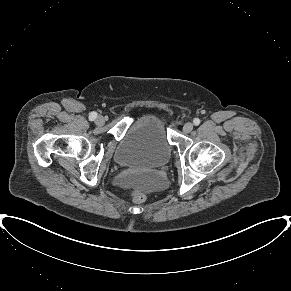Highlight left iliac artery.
<instances>
[{"mask_svg":"<svg viewBox=\"0 0 291 291\" xmlns=\"http://www.w3.org/2000/svg\"><path fill=\"white\" fill-rule=\"evenodd\" d=\"M193 124L196 125V126H198L200 124V119L199 118H195L193 120Z\"/></svg>","mask_w":291,"mask_h":291,"instance_id":"44dca946","label":"left iliac artery"}]
</instances>
